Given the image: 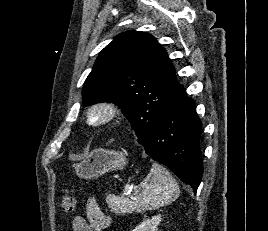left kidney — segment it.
Instances as JSON below:
<instances>
[{
  "label": "left kidney",
  "instance_id": "left-kidney-1",
  "mask_svg": "<svg viewBox=\"0 0 268 231\" xmlns=\"http://www.w3.org/2000/svg\"><path fill=\"white\" fill-rule=\"evenodd\" d=\"M162 218L161 215L153 216L151 219L144 220L132 231H157L158 225L160 224Z\"/></svg>",
  "mask_w": 268,
  "mask_h": 231
}]
</instances>
